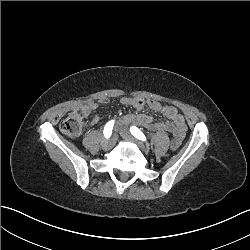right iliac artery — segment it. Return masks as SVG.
Segmentation results:
<instances>
[{
    "label": "right iliac artery",
    "mask_w": 250,
    "mask_h": 250,
    "mask_svg": "<svg viewBox=\"0 0 250 250\" xmlns=\"http://www.w3.org/2000/svg\"><path fill=\"white\" fill-rule=\"evenodd\" d=\"M113 125H114V120L109 121L105 127H104V131L103 134L105 136V138H110L111 134H112V129H113Z\"/></svg>",
    "instance_id": "82829eb1"
}]
</instances>
